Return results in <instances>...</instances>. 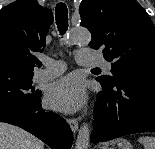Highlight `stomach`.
Instances as JSON below:
<instances>
[{
    "instance_id": "obj_1",
    "label": "stomach",
    "mask_w": 155,
    "mask_h": 149,
    "mask_svg": "<svg viewBox=\"0 0 155 149\" xmlns=\"http://www.w3.org/2000/svg\"><path fill=\"white\" fill-rule=\"evenodd\" d=\"M102 149H133L132 145L124 138L115 139L105 144Z\"/></svg>"
}]
</instances>
